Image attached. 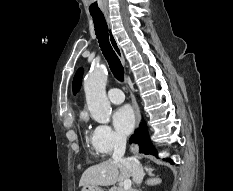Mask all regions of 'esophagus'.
<instances>
[{
    "instance_id": "34e87169",
    "label": "esophagus",
    "mask_w": 233,
    "mask_h": 191,
    "mask_svg": "<svg viewBox=\"0 0 233 191\" xmlns=\"http://www.w3.org/2000/svg\"><path fill=\"white\" fill-rule=\"evenodd\" d=\"M105 20L108 26V32H109V42L111 47L113 48V50L115 51L116 55L118 56V58L120 59L121 63L124 65L125 64V60L123 57V53L121 51V48L118 44V41L115 37V34L113 32V28L111 25V21H110V17L108 14H105ZM132 97V104L135 110V114H136V119H137V126L140 123L141 120V116H140V111H139V106L137 104V101L135 99V97L131 94ZM131 151H140V143L139 142H134L133 146H131Z\"/></svg>"
}]
</instances>
